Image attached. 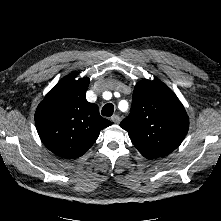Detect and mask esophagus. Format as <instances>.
<instances>
[{"label":"esophagus","mask_w":221,"mask_h":221,"mask_svg":"<svg viewBox=\"0 0 221 221\" xmlns=\"http://www.w3.org/2000/svg\"><path fill=\"white\" fill-rule=\"evenodd\" d=\"M111 120H112L114 123L118 124V123L120 122V117H119L117 114H115V115H113V116L111 117Z\"/></svg>","instance_id":"1"}]
</instances>
